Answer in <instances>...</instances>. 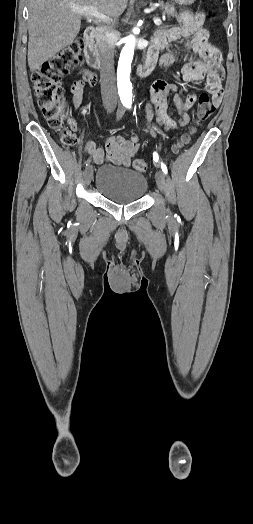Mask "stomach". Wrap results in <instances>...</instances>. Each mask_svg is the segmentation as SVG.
Returning <instances> with one entry per match:
<instances>
[{
    "instance_id": "stomach-1",
    "label": "stomach",
    "mask_w": 253,
    "mask_h": 524,
    "mask_svg": "<svg viewBox=\"0 0 253 524\" xmlns=\"http://www.w3.org/2000/svg\"><path fill=\"white\" fill-rule=\"evenodd\" d=\"M176 3L181 5L192 4L195 0H174Z\"/></svg>"
}]
</instances>
